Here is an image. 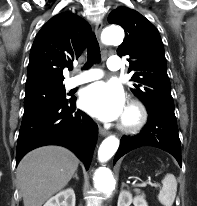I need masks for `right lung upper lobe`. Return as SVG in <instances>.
<instances>
[{
  "label": "right lung upper lobe",
  "mask_w": 197,
  "mask_h": 206,
  "mask_svg": "<svg viewBox=\"0 0 197 206\" xmlns=\"http://www.w3.org/2000/svg\"><path fill=\"white\" fill-rule=\"evenodd\" d=\"M90 31L89 23L76 14L65 12L52 17L33 42L26 89L63 86V69L79 58Z\"/></svg>",
  "instance_id": "1"
}]
</instances>
